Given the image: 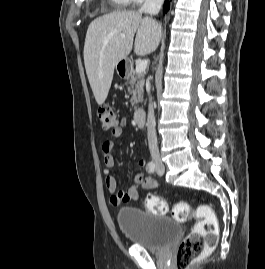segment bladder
I'll return each mask as SVG.
<instances>
[{"label": "bladder", "mask_w": 265, "mask_h": 269, "mask_svg": "<svg viewBox=\"0 0 265 269\" xmlns=\"http://www.w3.org/2000/svg\"><path fill=\"white\" fill-rule=\"evenodd\" d=\"M116 219L119 229L132 244L152 251L168 248L181 234L179 223L136 207L121 208Z\"/></svg>", "instance_id": "obj_1"}]
</instances>
